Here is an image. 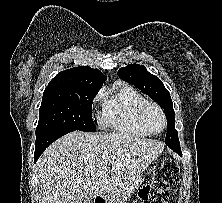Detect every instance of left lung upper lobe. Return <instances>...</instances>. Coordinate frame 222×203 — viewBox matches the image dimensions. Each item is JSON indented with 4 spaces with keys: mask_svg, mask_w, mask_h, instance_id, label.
<instances>
[{
    "mask_svg": "<svg viewBox=\"0 0 222 203\" xmlns=\"http://www.w3.org/2000/svg\"><path fill=\"white\" fill-rule=\"evenodd\" d=\"M118 75L126 82H129L147 94L162 108H164L167 118L165 144L167 146L180 145L178 132L175 129V112L170 93L167 91L160 79L149 73L143 65L139 64H130L126 67L120 68Z\"/></svg>",
    "mask_w": 222,
    "mask_h": 203,
    "instance_id": "5c2ea615",
    "label": "left lung upper lobe"
}]
</instances>
